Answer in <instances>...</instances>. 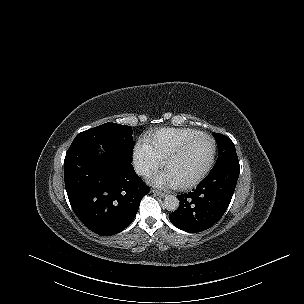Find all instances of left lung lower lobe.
Masks as SVG:
<instances>
[{"label":"left lung lower lobe","instance_id":"1","mask_svg":"<svg viewBox=\"0 0 304 304\" xmlns=\"http://www.w3.org/2000/svg\"><path fill=\"white\" fill-rule=\"evenodd\" d=\"M240 173L239 162L210 171L192 192L178 195L179 208L169 214L177 228L199 232L213 226L227 210Z\"/></svg>","mask_w":304,"mask_h":304}]
</instances>
